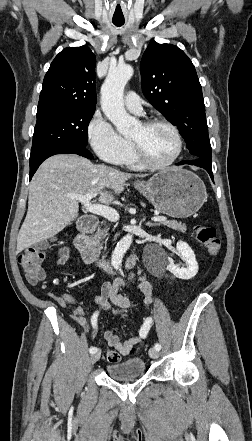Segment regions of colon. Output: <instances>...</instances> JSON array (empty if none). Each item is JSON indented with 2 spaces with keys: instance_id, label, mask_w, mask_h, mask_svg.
Listing matches in <instances>:
<instances>
[{
  "instance_id": "1",
  "label": "colon",
  "mask_w": 252,
  "mask_h": 441,
  "mask_svg": "<svg viewBox=\"0 0 252 441\" xmlns=\"http://www.w3.org/2000/svg\"><path fill=\"white\" fill-rule=\"evenodd\" d=\"M196 239L206 248L210 255L220 251L221 242L216 235V230L211 226L196 225L194 227ZM47 245L45 243L30 246L18 257L19 264L24 271L27 281L31 285H37L45 279V271L42 262L46 256ZM132 304L127 306H112L110 311L115 316L127 317L132 311ZM109 363H118L120 354L116 350H109L106 353Z\"/></svg>"
}]
</instances>
